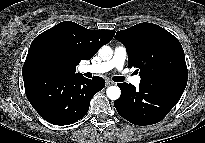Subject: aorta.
<instances>
[{"mask_svg":"<svg viewBox=\"0 0 205 143\" xmlns=\"http://www.w3.org/2000/svg\"><path fill=\"white\" fill-rule=\"evenodd\" d=\"M99 56L103 61H108L113 56V50L109 46H102L99 49ZM106 94L110 100H117L120 98L121 90L118 86H109Z\"/></svg>","mask_w":205,"mask_h":143,"instance_id":"aorta-1","label":"aorta"}]
</instances>
